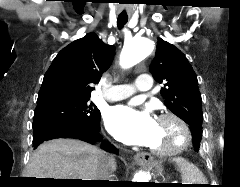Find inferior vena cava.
Returning <instances> with one entry per match:
<instances>
[{"label":"inferior vena cava","instance_id":"602c4592","mask_svg":"<svg viewBox=\"0 0 240 187\" xmlns=\"http://www.w3.org/2000/svg\"><path fill=\"white\" fill-rule=\"evenodd\" d=\"M109 165H110V159H108L107 157H104L103 164L101 166V175H100V178H98L99 180H108V178L110 177Z\"/></svg>","mask_w":240,"mask_h":187}]
</instances>
